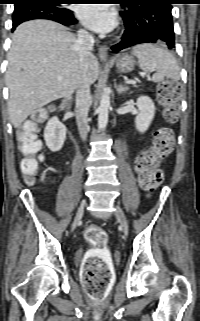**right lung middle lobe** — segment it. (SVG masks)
Returning <instances> with one entry per match:
<instances>
[{
    "mask_svg": "<svg viewBox=\"0 0 200 321\" xmlns=\"http://www.w3.org/2000/svg\"><path fill=\"white\" fill-rule=\"evenodd\" d=\"M46 1L50 2L52 5H54L56 7L64 8L60 4H62L64 2H68L69 0H46Z\"/></svg>",
    "mask_w": 200,
    "mask_h": 321,
    "instance_id": "obj_1",
    "label": "right lung middle lobe"
}]
</instances>
